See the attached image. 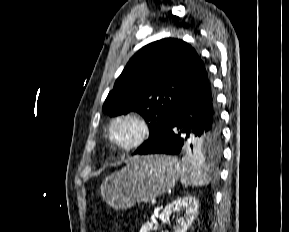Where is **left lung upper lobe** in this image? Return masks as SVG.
Here are the masks:
<instances>
[{
  "instance_id": "left-lung-upper-lobe-1",
  "label": "left lung upper lobe",
  "mask_w": 289,
  "mask_h": 232,
  "mask_svg": "<svg viewBox=\"0 0 289 232\" xmlns=\"http://www.w3.org/2000/svg\"><path fill=\"white\" fill-rule=\"evenodd\" d=\"M205 68L194 48L168 38L141 48L127 63L103 105L110 116L137 111L147 122L150 136L136 153L155 141L167 128L180 98ZM221 128L216 137L195 141L194 151L218 153Z\"/></svg>"
}]
</instances>
